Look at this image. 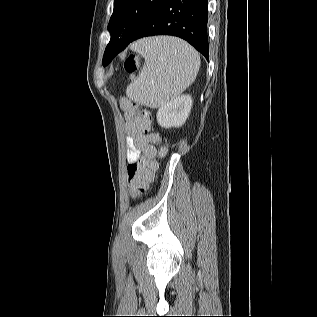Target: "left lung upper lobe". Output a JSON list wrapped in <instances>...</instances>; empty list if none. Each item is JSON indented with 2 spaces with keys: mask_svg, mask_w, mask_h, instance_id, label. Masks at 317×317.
<instances>
[{
  "mask_svg": "<svg viewBox=\"0 0 317 317\" xmlns=\"http://www.w3.org/2000/svg\"><path fill=\"white\" fill-rule=\"evenodd\" d=\"M162 2L163 0H115L108 26L110 41L117 44L129 42ZM110 61L105 50L102 64L106 66Z\"/></svg>",
  "mask_w": 317,
  "mask_h": 317,
  "instance_id": "left-lung-upper-lobe-1",
  "label": "left lung upper lobe"
}]
</instances>
